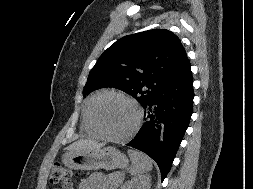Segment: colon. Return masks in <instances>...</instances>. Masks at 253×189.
I'll use <instances>...</instances> for the list:
<instances>
[{
	"instance_id": "5ec220e1",
	"label": "colon",
	"mask_w": 253,
	"mask_h": 189,
	"mask_svg": "<svg viewBox=\"0 0 253 189\" xmlns=\"http://www.w3.org/2000/svg\"><path fill=\"white\" fill-rule=\"evenodd\" d=\"M50 182L52 184H61L65 189H71V173L65 166L56 163L50 174Z\"/></svg>"
}]
</instances>
